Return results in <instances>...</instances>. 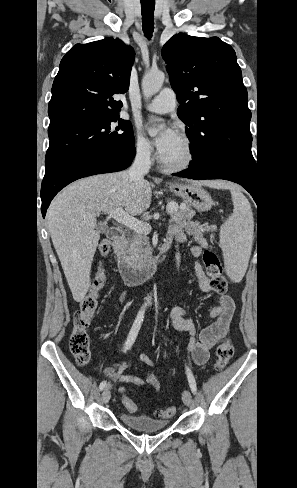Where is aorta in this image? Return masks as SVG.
<instances>
[{
	"mask_svg": "<svg viewBox=\"0 0 297 488\" xmlns=\"http://www.w3.org/2000/svg\"><path fill=\"white\" fill-rule=\"evenodd\" d=\"M165 74L162 71L148 72L144 75L142 79V92L145 98H150L152 95L157 93L164 82ZM157 132L156 130L152 133ZM152 304V297H146V305Z\"/></svg>",
	"mask_w": 297,
	"mask_h": 488,
	"instance_id": "1",
	"label": "aorta"
}]
</instances>
